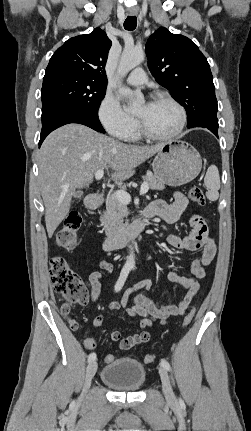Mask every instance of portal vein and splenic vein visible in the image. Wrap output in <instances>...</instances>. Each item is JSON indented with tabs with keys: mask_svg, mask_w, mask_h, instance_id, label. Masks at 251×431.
I'll return each mask as SVG.
<instances>
[{
	"mask_svg": "<svg viewBox=\"0 0 251 431\" xmlns=\"http://www.w3.org/2000/svg\"><path fill=\"white\" fill-rule=\"evenodd\" d=\"M103 175H104V170L103 169H99L96 173H95V179L96 180H100L102 177H103ZM148 189H149V185H148V183L147 182H143L142 184H141V187H140V194L141 195H144V194H146L147 192H148ZM113 195L116 197V199L119 201V202H121V203H123V204H129L130 202H131V196H130V194L129 193H127L126 191H124V190H117V191H115L114 193H113Z\"/></svg>",
	"mask_w": 251,
	"mask_h": 431,
	"instance_id": "portal-vein-and-splenic-vein-1",
	"label": "portal vein and splenic vein"
}]
</instances>
